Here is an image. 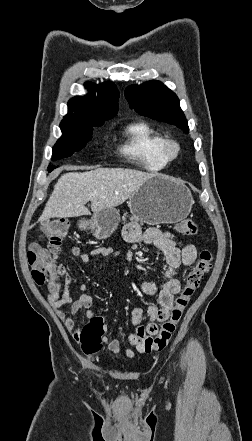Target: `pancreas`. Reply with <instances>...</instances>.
I'll use <instances>...</instances> for the list:
<instances>
[{
  "label": "pancreas",
  "instance_id": "pancreas-1",
  "mask_svg": "<svg viewBox=\"0 0 252 441\" xmlns=\"http://www.w3.org/2000/svg\"><path fill=\"white\" fill-rule=\"evenodd\" d=\"M132 219H136V220H139L137 217H132Z\"/></svg>",
  "mask_w": 252,
  "mask_h": 441
}]
</instances>
